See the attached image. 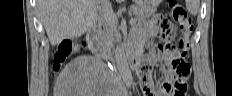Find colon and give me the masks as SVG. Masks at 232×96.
Masks as SVG:
<instances>
[{
    "mask_svg": "<svg viewBox=\"0 0 232 96\" xmlns=\"http://www.w3.org/2000/svg\"><path fill=\"white\" fill-rule=\"evenodd\" d=\"M169 11L171 18L177 22L182 30L183 37L179 42L176 48L170 46H164L160 50L169 58L170 70L169 79L172 77V73H177L181 76H187L190 72V67L187 62L189 44L188 38L192 31V22L188 17L187 12L183 5L177 0H169ZM81 46L85 45L84 41L80 42ZM75 44L71 41H64L60 44L58 50L55 52L53 57L52 71L58 73L61 69L66 58L70 55L74 48ZM183 82L181 79L175 78V87L176 85H182ZM175 95L182 96L184 95L183 90H177Z\"/></svg>",
    "mask_w": 232,
    "mask_h": 96,
    "instance_id": "1",
    "label": "colon"
}]
</instances>
